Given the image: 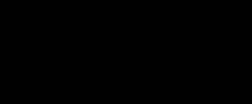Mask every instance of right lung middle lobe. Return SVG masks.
<instances>
[{
  "label": "right lung middle lobe",
  "mask_w": 252,
  "mask_h": 104,
  "mask_svg": "<svg viewBox=\"0 0 252 104\" xmlns=\"http://www.w3.org/2000/svg\"><path fill=\"white\" fill-rule=\"evenodd\" d=\"M113 24L111 19L85 16L64 25L44 41L36 64L53 57H76L102 66L103 41Z\"/></svg>",
  "instance_id": "obj_1"
}]
</instances>
